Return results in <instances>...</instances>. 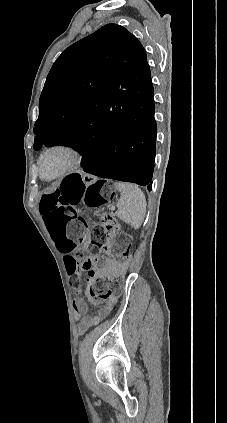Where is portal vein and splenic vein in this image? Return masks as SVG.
<instances>
[{
  "label": "portal vein and splenic vein",
  "mask_w": 227,
  "mask_h": 423,
  "mask_svg": "<svg viewBox=\"0 0 227 423\" xmlns=\"http://www.w3.org/2000/svg\"><path fill=\"white\" fill-rule=\"evenodd\" d=\"M111 209H112V212H115L116 206L115 205H112L111 206Z\"/></svg>",
  "instance_id": "obj_1"
}]
</instances>
